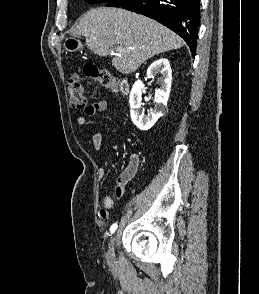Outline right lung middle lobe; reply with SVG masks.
<instances>
[{"instance_id": "1", "label": "right lung middle lobe", "mask_w": 259, "mask_h": 294, "mask_svg": "<svg viewBox=\"0 0 259 294\" xmlns=\"http://www.w3.org/2000/svg\"><path fill=\"white\" fill-rule=\"evenodd\" d=\"M88 3H110L112 6L115 7H121L123 4H125L129 0H85ZM110 4H107V6H110Z\"/></svg>"}]
</instances>
